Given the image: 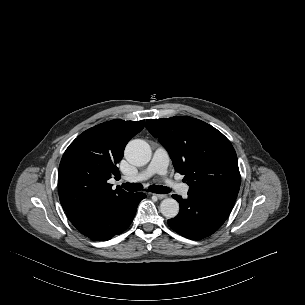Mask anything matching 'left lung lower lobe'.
I'll list each match as a JSON object with an SVG mask.
<instances>
[{
  "instance_id": "obj_1",
  "label": "left lung lower lobe",
  "mask_w": 305,
  "mask_h": 305,
  "mask_svg": "<svg viewBox=\"0 0 305 305\" xmlns=\"http://www.w3.org/2000/svg\"><path fill=\"white\" fill-rule=\"evenodd\" d=\"M237 191H188V197L172 195L180 204L179 214L168 220L169 226L190 239H202L217 231L229 216Z\"/></svg>"
}]
</instances>
